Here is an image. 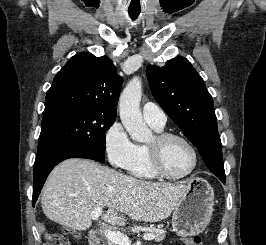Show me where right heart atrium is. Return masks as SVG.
I'll return each mask as SVG.
<instances>
[{"mask_svg": "<svg viewBox=\"0 0 266 245\" xmlns=\"http://www.w3.org/2000/svg\"><path fill=\"white\" fill-rule=\"evenodd\" d=\"M103 143L109 163L115 168L131 171L139 146L131 140L122 123L115 121L106 129Z\"/></svg>", "mask_w": 266, "mask_h": 245, "instance_id": "1", "label": "right heart atrium"}]
</instances>
